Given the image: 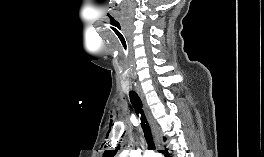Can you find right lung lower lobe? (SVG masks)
<instances>
[{
    "label": "right lung lower lobe",
    "instance_id": "98d812e1",
    "mask_svg": "<svg viewBox=\"0 0 264 157\" xmlns=\"http://www.w3.org/2000/svg\"><path fill=\"white\" fill-rule=\"evenodd\" d=\"M161 153L164 154V157H171V156L168 154L167 150H162Z\"/></svg>",
    "mask_w": 264,
    "mask_h": 157
}]
</instances>
